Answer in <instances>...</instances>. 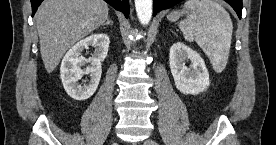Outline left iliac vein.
Here are the masks:
<instances>
[{
	"instance_id": "left-iliac-vein-1",
	"label": "left iliac vein",
	"mask_w": 276,
	"mask_h": 145,
	"mask_svg": "<svg viewBox=\"0 0 276 145\" xmlns=\"http://www.w3.org/2000/svg\"><path fill=\"white\" fill-rule=\"evenodd\" d=\"M146 145H157V143L154 140L148 139L145 141Z\"/></svg>"
}]
</instances>
